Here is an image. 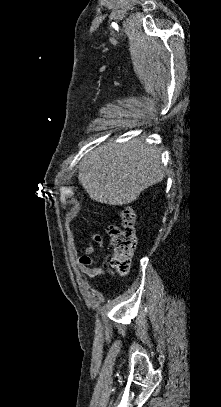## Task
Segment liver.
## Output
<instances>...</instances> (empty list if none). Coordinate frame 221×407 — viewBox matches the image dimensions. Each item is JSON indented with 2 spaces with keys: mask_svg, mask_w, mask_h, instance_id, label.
<instances>
[{
  "mask_svg": "<svg viewBox=\"0 0 221 407\" xmlns=\"http://www.w3.org/2000/svg\"><path fill=\"white\" fill-rule=\"evenodd\" d=\"M164 175L160 150L135 138L110 142L88 153L80 163L78 179L93 201L122 206Z\"/></svg>",
  "mask_w": 221,
  "mask_h": 407,
  "instance_id": "obj_1",
  "label": "liver"
}]
</instances>
